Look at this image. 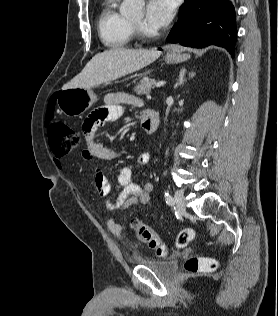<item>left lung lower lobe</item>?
Listing matches in <instances>:
<instances>
[{
    "instance_id": "0a47b994",
    "label": "left lung lower lobe",
    "mask_w": 278,
    "mask_h": 316,
    "mask_svg": "<svg viewBox=\"0 0 278 316\" xmlns=\"http://www.w3.org/2000/svg\"><path fill=\"white\" fill-rule=\"evenodd\" d=\"M236 34L235 9L230 0H185L167 41L194 48L213 44L234 56Z\"/></svg>"
}]
</instances>
